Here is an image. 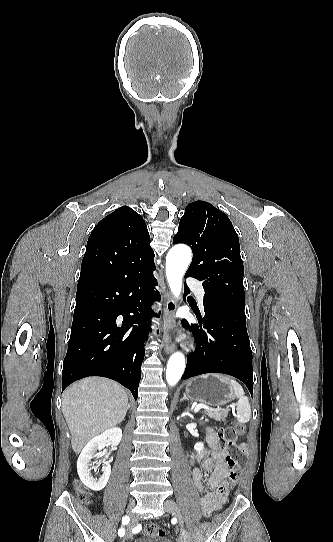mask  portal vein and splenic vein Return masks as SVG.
<instances>
[{"mask_svg": "<svg viewBox=\"0 0 333 542\" xmlns=\"http://www.w3.org/2000/svg\"><path fill=\"white\" fill-rule=\"evenodd\" d=\"M201 408H203V410H210V412H215V410H213V408H209V406H204V404H199V406H196L194 412H199V410H201Z\"/></svg>", "mask_w": 333, "mask_h": 542, "instance_id": "portal-vein-and-splenic-vein-1", "label": "portal vein and splenic vein"}]
</instances>
